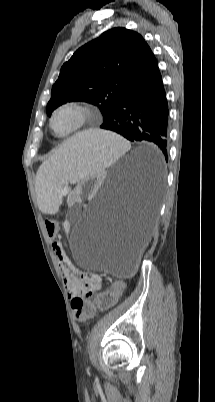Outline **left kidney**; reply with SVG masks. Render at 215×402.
Here are the masks:
<instances>
[{"label": "left kidney", "mask_w": 215, "mask_h": 402, "mask_svg": "<svg viewBox=\"0 0 215 402\" xmlns=\"http://www.w3.org/2000/svg\"><path fill=\"white\" fill-rule=\"evenodd\" d=\"M104 169H97L94 175H86L82 184H75L69 193V202L71 205H78L81 200H90L92 193H96L100 181L105 177ZM67 227H72V222H67Z\"/></svg>", "instance_id": "1"}]
</instances>
